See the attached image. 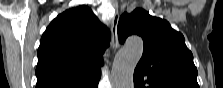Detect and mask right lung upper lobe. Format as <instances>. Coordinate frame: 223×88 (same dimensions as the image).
<instances>
[{
    "instance_id": "obj_1",
    "label": "right lung upper lobe",
    "mask_w": 223,
    "mask_h": 88,
    "mask_svg": "<svg viewBox=\"0 0 223 88\" xmlns=\"http://www.w3.org/2000/svg\"><path fill=\"white\" fill-rule=\"evenodd\" d=\"M109 31L85 6L58 15L42 35L36 88H91L100 79Z\"/></svg>"
}]
</instances>
